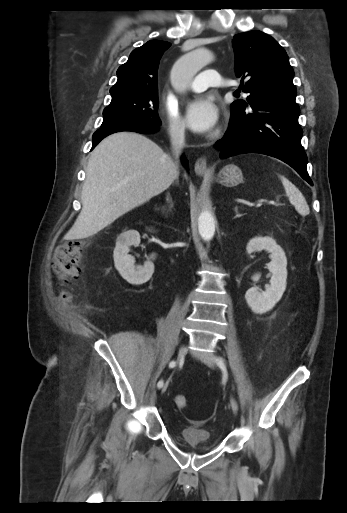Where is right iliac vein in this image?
Here are the masks:
<instances>
[{"label": "right iliac vein", "instance_id": "obj_1", "mask_svg": "<svg viewBox=\"0 0 347 513\" xmlns=\"http://www.w3.org/2000/svg\"><path fill=\"white\" fill-rule=\"evenodd\" d=\"M186 351H187V349H186V347H185V346H182V347L180 348L179 353H178V362H180V361L183 359V357H184V356H185V354H186ZM167 387H168V383H166V384L163 386V388H162V393H164V392L167 390Z\"/></svg>", "mask_w": 347, "mask_h": 513}]
</instances>
